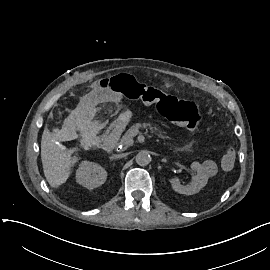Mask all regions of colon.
<instances>
[{
    "label": "colon",
    "mask_w": 270,
    "mask_h": 270,
    "mask_svg": "<svg viewBox=\"0 0 270 270\" xmlns=\"http://www.w3.org/2000/svg\"><path fill=\"white\" fill-rule=\"evenodd\" d=\"M107 82V80H105ZM114 91L128 99L137 100L145 105H156L158 112L187 130L198 128L201 116L193 101L180 99L164 93L154 87L140 83L133 76L115 77L111 80ZM224 154L219 158V170L224 175H231L236 170V158L230 142L224 143Z\"/></svg>",
    "instance_id": "colon-1"
}]
</instances>
